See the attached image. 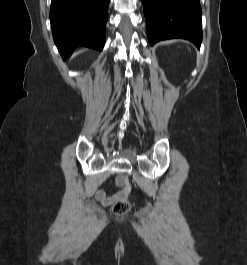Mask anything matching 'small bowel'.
Returning <instances> with one entry per match:
<instances>
[{"instance_id":"1","label":"small bowel","mask_w":247,"mask_h":265,"mask_svg":"<svg viewBox=\"0 0 247 265\" xmlns=\"http://www.w3.org/2000/svg\"><path fill=\"white\" fill-rule=\"evenodd\" d=\"M118 184H120L119 181ZM127 194L128 193H126L123 189L114 195H107L104 190H98L95 196L98 201H100L103 205L107 206L117 201L118 199L126 198Z\"/></svg>"}]
</instances>
